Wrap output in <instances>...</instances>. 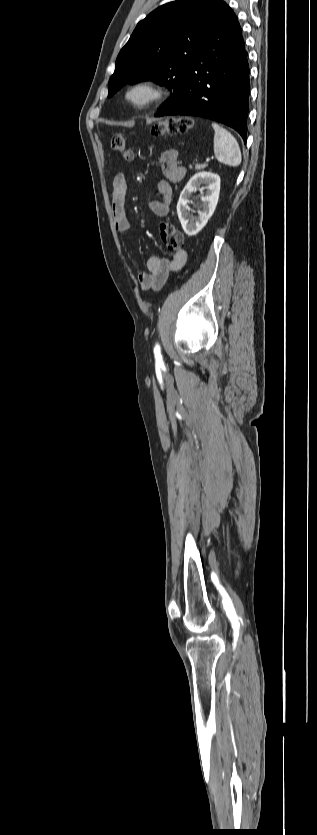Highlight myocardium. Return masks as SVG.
Segmentation results:
<instances>
[{
    "mask_svg": "<svg viewBox=\"0 0 317 835\" xmlns=\"http://www.w3.org/2000/svg\"><path fill=\"white\" fill-rule=\"evenodd\" d=\"M164 97V88L152 79L136 80L124 92L125 101L137 110L148 109Z\"/></svg>",
    "mask_w": 317,
    "mask_h": 835,
    "instance_id": "f54148a6",
    "label": "myocardium"
}]
</instances>
